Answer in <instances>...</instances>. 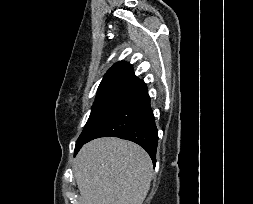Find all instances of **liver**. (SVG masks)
<instances>
[{
	"instance_id": "liver-1",
	"label": "liver",
	"mask_w": 253,
	"mask_h": 204,
	"mask_svg": "<svg viewBox=\"0 0 253 204\" xmlns=\"http://www.w3.org/2000/svg\"><path fill=\"white\" fill-rule=\"evenodd\" d=\"M80 204H142L153 176L148 153L116 137L85 144L73 163Z\"/></svg>"
}]
</instances>
